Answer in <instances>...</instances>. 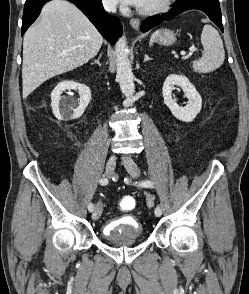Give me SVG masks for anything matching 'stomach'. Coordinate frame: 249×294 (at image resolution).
I'll list each match as a JSON object with an SVG mask.
<instances>
[{
  "instance_id": "0dacf381",
  "label": "stomach",
  "mask_w": 249,
  "mask_h": 294,
  "mask_svg": "<svg viewBox=\"0 0 249 294\" xmlns=\"http://www.w3.org/2000/svg\"><path fill=\"white\" fill-rule=\"evenodd\" d=\"M154 40L160 43L161 45L169 46L175 43L176 35L173 31L169 29H163L159 31V33L155 36Z\"/></svg>"
}]
</instances>
